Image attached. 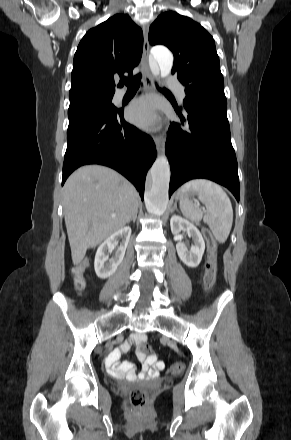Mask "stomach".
I'll return each instance as SVG.
<instances>
[{
	"instance_id": "0dacf381",
	"label": "stomach",
	"mask_w": 291,
	"mask_h": 440,
	"mask_svg": "<svg viewBox=\"0 0 291 440\" xmlns=\"http://www.w3.org/2000/svg\"><path fill=\"white\" fill-rule=\"evenodd\" d=\"M193 196H194V192H193V191L188 192L187 195H186V197H187L188 199L191 198V197H193Z\"/></svg>"
}]
</instances>
